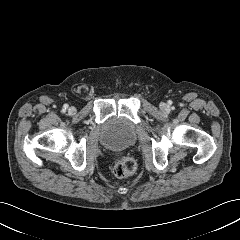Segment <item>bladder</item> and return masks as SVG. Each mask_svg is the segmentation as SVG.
Segmentation results:
<instances>
[{"label":"bladder","mask_w":240,"mask_h":240,"mask_svg":"<svg viewBox=\"0 0 240 240\" xmlns=\"http://www.w3.org/2000/svg\"><path fill=\"white\" fill-rule=\"evenodd\" d=\"M136 141L134 126L124 118L113 117L101 126L100 142L110 150H123Z\"/></svg>","instance_id":"obj_1"}]
</instances>
